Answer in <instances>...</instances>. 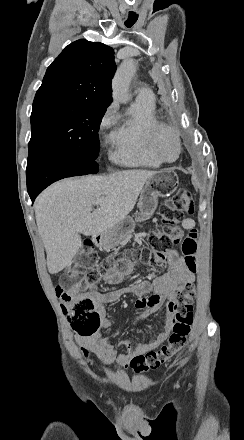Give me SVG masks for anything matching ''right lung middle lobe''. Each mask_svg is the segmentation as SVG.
<instances>
[{
    "label": "right lung middle lobe",
    "mask_w": 244,
    "mask_h": 440,
    "mask_svg": "<svg viewBox=\"0 0 244 440\" xmlns=\"http://www.w3.org/2000/svg\"><path fill=\"white\" fill-rule=\"evenodd\" d=\"M106 108L87 101H34L29 153L49 150L96 160Z\"/></svg>",
    "instance_id": "right-lung-middle-lobe-1"
}]
</instances>
